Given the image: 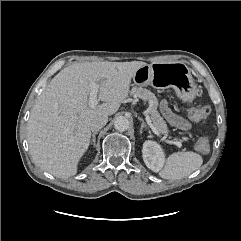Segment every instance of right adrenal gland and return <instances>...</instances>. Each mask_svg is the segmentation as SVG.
<instances>
[{"mask_svg": "<svg viewBox=\"0 0 241 241\" xmlns=\"http://www.w3.org/2000/svg\"><path fill=\"white\" fill-rule=\"evenodd\" d=\"M97 133H98V131L93 132L92 139L90 141L91 145L93 144L94 147H95V144H96V134Z\"/></svg>", "mask_w": 241, "mask_h": 241, "instance_id": "right-adrenal-gland-1", "label": "right adrenal gland"}]
</instances>
